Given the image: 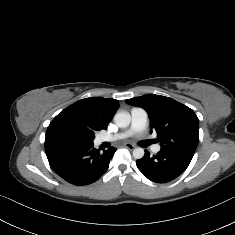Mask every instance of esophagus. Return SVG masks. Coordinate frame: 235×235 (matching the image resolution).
I'll list each match as a JSON object with an SVG mask.
<instances>
[{"instance_id":"esophagus-1","label":"esophagus","mask_w":235,"mask_h":235,"mask_svg":"<svg viewBox=\"0 0 235 235\" xmlns=\"http://www.w3.org/2000/svg\"><path fill=\"white\" fill-rule=\"evenodd\" d=\"M124 147L129 150H133L136 146L131 143H124Z\"/></svg>"}]
</instances>
